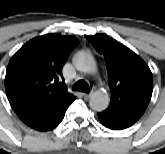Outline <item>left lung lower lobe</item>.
I'll list each match as a JSON object with an SVG mask.
<instances>
[{
  "label": "left lung lower lobe",
  "instance_id": "0a47b994",
  "mask_svg": "<svg viewBox=\"0 0 165 154\" xmlns=\"http://www.w3.org/2000/svg\"><path fill=\"white\" fill-rule=\"evenodd\" d=\"M98 117L100 122L106 126L107 128L113 130H121L133 125L135 122L130 120H124L120 118H116L114 116L108 115L105 112L98 113Z\"/></svg>",
  "mask_w": 165,
  "mask_h": 154
}]
</instances>
